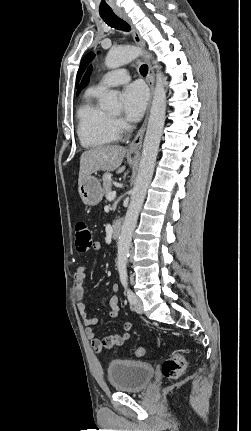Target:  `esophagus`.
Listing matches in <instances>:
<instances>
[{"instance_id":"esophagus-1","label":"esophagus","mask_w":251,"mask_h":431,"mask_svg":"<svg viewBox=\"0 0 251 431\" xmlns=\"http://www.w3.org/2000/svg\"><path fill=\"white\" fill-rule=\"evenodd\" d=\"M116 14L123 19L125 22H127L130 27H131V35L133 37V40L135 41V43L144 48L145 47V42L143 40V38L141 37L139 31L137 30V28L135 27V25L132 23L131 19L128 17V15L123 12V11H116ZM147 64H148V76H147V82L148 85L150 87V92H151V98L153 95V90H154V71L153 68L150 64V62L147 60ZM148 123V112L147 115L145 117V120L141 126V128L139 129V131L137 132L136 136L134 137V139L132 140V142L129 145V150L130 151H136L138 149H140L141 145H142V141H143V137L146 131V126Z\"/></svg>"}]
</instances>
